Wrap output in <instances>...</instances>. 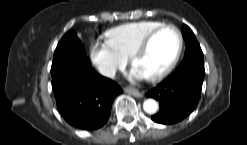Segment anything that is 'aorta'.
<instances>
[{"mask_svg":"<svg viewBox=\"0 0 247 145\" xmlns=\"http://www.w3.org/2000/svg\"><path fill=\"white\" fill-rule=\"evenodd\" d=\"M158 102L154 99H147L143 103V109L148 114H155L158 110Z\"/></svg>","mask_w":247,"mask_h":145,"instance_id":"1","label":"aorta"}]
</instances>
